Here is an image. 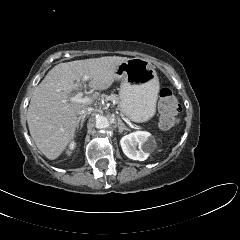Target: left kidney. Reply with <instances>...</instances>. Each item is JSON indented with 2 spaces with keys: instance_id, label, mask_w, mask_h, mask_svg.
<instances>
[{
  "instance_id": "1",
  "label": "left kidney",
  "mask_w": 240,
  "mask_h": 240,
  "mask_svg": "<svg viewBox=\"0 0 240 240\" xmlns=\"http://www.w3.org/2000/svg\"><path fill=\"white\" fill-rule=\"evenodd\" d=\"M120 145L128 158L138 161L146 160L156 147L155 140L146 131H135L123 136Z\"/></svg>"
}]
</instances>
